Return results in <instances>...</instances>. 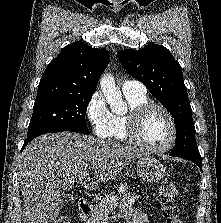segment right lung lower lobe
Here are the masks:
<instances>
[{"mask_svg": "<svg viewBox=\"0 0 221 223\" xmlns=\"http://www.w3.org/2000/svg\"><path fill=\"white\" fill-rule=\"evenodd\" d=\"M31 140H33V139H26V140L24 141L22 150L24 149V147H25Z\"/></svg>", "mask_w": 221, "mask_h": 223, "instance_id": "obj_1", "label": "right lung lower lobe"}]
</instances>
